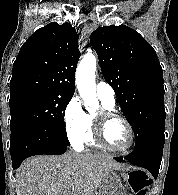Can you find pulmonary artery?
Wrapping results in <instances>:
<instances>
[{
  "mask_svg": "<svg viewBox=\"0 0 178 195\" xmlns=\"http://www.w3.org/2000/svg\"><path fill=\"white\" fill-rule=\"evenodd\" d=\"M96 93L99 99L107 102L108 104H115L114 89L105 81H100L96 85Z\"/></svg>",
  "mask_w": 178,
  "mask_h": 195,
  "instance_id": "e3ab8cb5",
  "label": "pulmonary artery"
}]
</instances>
